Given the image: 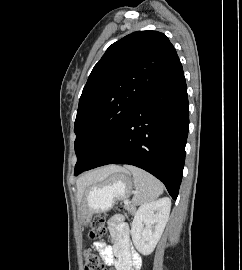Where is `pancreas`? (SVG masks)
<instances>
[{"instance_id":"cf45deb5","label":"pancreas","mask_w":242,"mask_h":270,"mask_svg":"<svg viewBox=\"0 0 242 270\" xmlns=\"http://www.w3.org/2000/svg\"><path fill=\"white\" fill-rule=\"evenodd\" d=\"M125 208L131 213H134L136 210V207L133 204H126Z\"/></svg>"}]
</instances>
